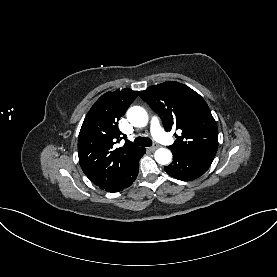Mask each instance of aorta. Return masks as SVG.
I'll return each instance as SVG.
<instances>
[{
	"mask_svg": "<svg viewBox=\"0 0 277 277\" xmlns=\"http://www.w3.org/2000/svg\"><path fill=\"white\" fill-rule=\"evenodd\" d=\"M128 121L135 127H144L148 123V114L144 108L133 106L127 111ZM155 160L161 165H167L171 162L172 154L166 148H159L155 151Z\"/></svg>",
	"mask_w": 277,
	"mask_h": 277,
	"instance_id": "aorta-1",
	"label": "aorta"
}]
</instances>
